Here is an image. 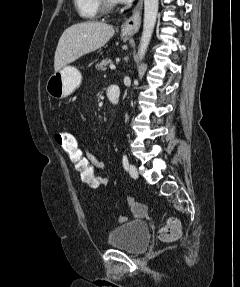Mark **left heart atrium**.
<instances>
[{
    "label": "left heart atrium",
    "mask_w": 240,
    "mask_h": 287,
    "mask_svg": "<svg viewBox=\"0 0 240 287\" xmlns=\"http://www.w3.org/2000/svg\"><path fill=\"white\" fill-rule=\"evenodd\" d=\"M114 1H118V2H129L131 0H114Z\"/></svg>",
    "instance_id": "1"
}]
</instances>
